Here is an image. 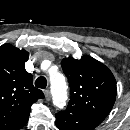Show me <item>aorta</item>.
<instances>
[{
	"label": "aorta",
	"mask_w": 130,
	"mask_h": 130,
	"mask_svg": "<svg viewBox=\"0 0 130 130\" xmlns=\"http://www.w3.org/2000/svg\"><path fill=\"white\" fill-rule=\"evenodd\" d=\"M53 103L57 108H64L67 100V85L65 78L60 73L50 75Z\"/></svg>",
	"instance_id": "762f6f07"
}]
</instances>
